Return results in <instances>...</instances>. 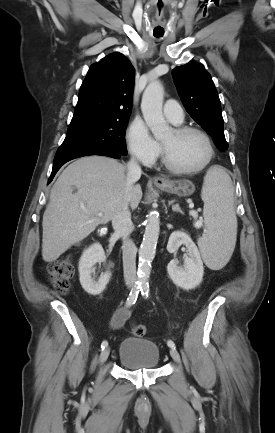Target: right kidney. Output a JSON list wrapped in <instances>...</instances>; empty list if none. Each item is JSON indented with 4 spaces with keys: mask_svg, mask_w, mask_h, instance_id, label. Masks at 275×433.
Masks as SVG:
<instances>
[{
    "mask_svg": "<svg viewBox=\"0 0 275 433\" xmlns=\"http://www.w3.org/2000/svg\"><path fill=\"white\" fill-rule=\"evenodd\" d=\"M106 259L105 252L99 243H94L84 250L79 261L80 283L83 289L91 294L98 295L103 292L109 282L111 273L102 274L96 281L91 275L94 273V265L104 262Z\"/></svg>",
    "mask_w": 275,
    "mask_h": 433,
    "instance_id": "ca27d5eb",
    "label": "right kidney"
}]
</instances>
